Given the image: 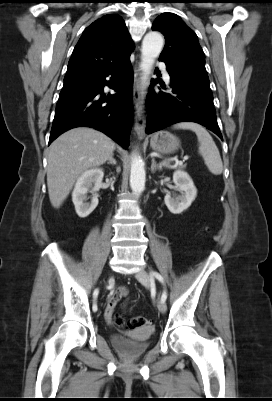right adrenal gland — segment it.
Listing matches in <instances>:
<instances>
[{"mask_svg":"<svg viewBox=\"0 0 272 401\" xmlns=\"http://www.w3.org/2000/svg\"><path fill=\"white\" fill-rule=\"evenodd\" d=\"M107 164H112V165H116V160L114 159L113 155L110 157V159L108 160Z\"/></svg>","mask_w":272,"mask_h":401,"instance_id":"1","label":"right adrenal gland"}]
</instances>
